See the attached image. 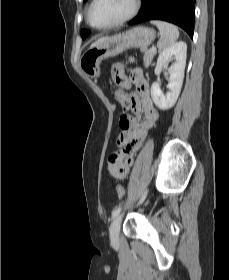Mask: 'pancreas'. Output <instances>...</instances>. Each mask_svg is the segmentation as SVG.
Masks as SVG:
<instances>
[{
	"mask_svg": "<svg viewBox=\"0 0 229 280\" xmlns=\"http://www.w3.org/2000/svg\"><path fill=\"white\" fill-rule=\"evenodd\" d=\"M141 51L144 52V57H143L144 65L148 67L151 64L153 57L156 55V51L152 52L151 50H142V49Z\"/></svg>",
	"mask_w": 229,
	"mask_h": 280,
	"instance_id": "cf45deb5",
	"label": "pancreas"
}]
</instances>
